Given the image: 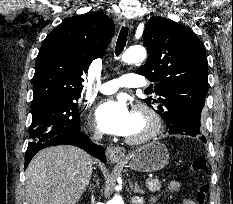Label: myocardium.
Listing matches in <instances>:
<instances>
[{"label":"myocardium","mask_w":233,"mask_h":204,"mask_svg":"<svg viewBox=\"0 0 233 204\" xmlns=\"http://www.w3.org/2000/svg\"><path fill=\"white\" fill-rule=\"evenodd\" d=\"M133 113L143 115L148 123V129L137 136H127L126 142L129 144H141L153 139L161 130L162 122L158 113L145 103H137L133 106Z\"/></svg>","instance_id":"myocardium-1"}]
</instances>
